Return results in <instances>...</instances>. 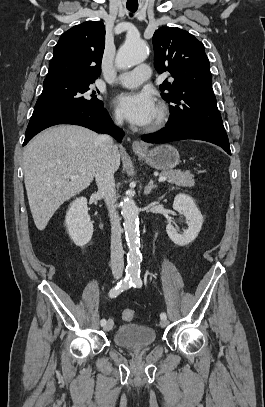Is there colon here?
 Instances as JSON below:
<instances>
[{"label": "colon", "mask_w": 265, "mask_h": 407, "mask_svg": "<svg viewBox=\"0 0 265 407\" xmlns=\"http://www.w3.org/2000/svg\"><path fill=\"white\" fill-rule=\"evenodd\" d=\"M123 320L130 322L136 319V313L132 309H125L122 313Z\"/></svg>", "instance_id": "5ec220e1"}]
</instances>
